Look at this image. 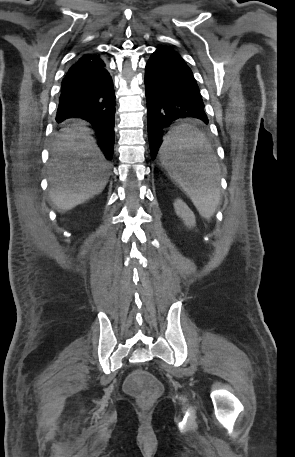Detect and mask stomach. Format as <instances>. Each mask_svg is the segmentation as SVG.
Masks as SVG:
<instances>
[{
	"label": "stomach",
	"instance_id": "stomach-1",
	"mask_svg": "<svg viewBox=\"0 0 295 457\" xmlns=\"http://www.w3.org/2000/svg\"><path fill=\"white\" fill-rule=\"evenodd\" d=\"M160 161H161L162 165L164 166V164L166 163V159L160 158Z\"/></svg>",
	"mask_w": 295,
	"mask_h": 457
}]
</instances>
